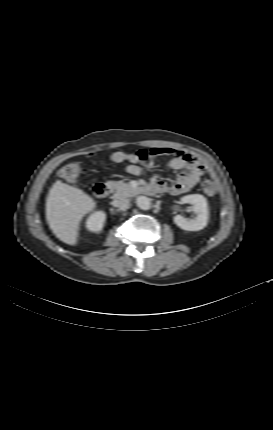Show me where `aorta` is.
<instances>
[{"mask_svg":"<svg viewBox=\"0 0 273 430\" xmlns=\"http://www.w3.org/2000/svg\"><path fill=\"white\" fill-rule=\"evenodd\" d=\"M136 205L142 210H149L152 207L150 198L146 196H137Z\"/></svg>","mask_w":273,"mask_h":430,"instance_id":"obj_1","label":"aorta"}]
</instances>
